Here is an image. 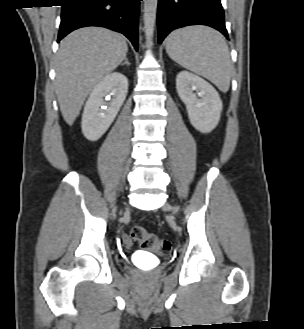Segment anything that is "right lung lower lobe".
Instances as JSON below:
<instances>
[{
    "label": "right lung lower lobe",
    "instance_id": "right-lung-lower-lobe-1",
    "mask_svg": "<svg viewBox=\"0 0 304 329\" xmlns=\"http://www.w3.org/2000/svg\"><path fill=\"white\" fill-rule=\"evenodd\" d=\"M58 42L75 29L105 27L124 34L138 50L139 2L142 0H63Z\"/></svg>",
    "mask_w": 304,
    "mask_h": 329
}]
</instances>
